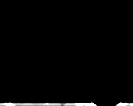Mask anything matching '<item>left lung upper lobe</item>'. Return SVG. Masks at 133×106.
<instances>
[{"instance_id": "left-lung-upper-lobe-1", "label": "left lung upper lobe", "mask_w": 133, "mask_h": 106, "mask_svg": "<svg viewBox=\"0 0 133 106\" xmlns=\"http://www.w3.org/2000/svg\"><path fill=\"white\" fill-rule=\"evenodd\" d=\"M87 73L78 86L80 94L99 106L123 102L133 94V56L94 43L85 52Z\"/></svg>"}]
</instances>
